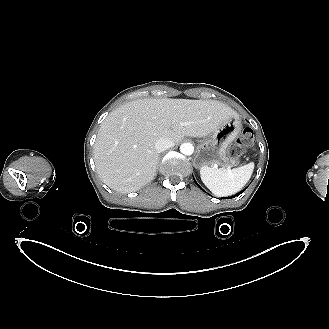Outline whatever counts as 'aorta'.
<instances>
[{
    "label": "aorta",
    "instance_id": "obj_1",
    "mask_svg": "<svg viewBox=\"0 0 329 329\" xmlns=\"http://www.w3.org/2000/svg\"><path fill=\"white\" fill-rule=\"evenodd\" d=\"M180 152L184 155H192L194 152V146L191 143H183L180 146Z\"/></svg>",
    "mask_w": 329,
    "mask_h": 329
}]
</instances>
